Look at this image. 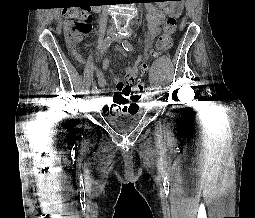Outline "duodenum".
Segmentation results:
<instances>
[{
  "mask_svg": "<svg viewBox=\"0 0 255 218\" xmlns=\"http://www.w3.org/2000/svg\"><path fill=\"white\" fill-rule=\"evenodd\" d=\"M97 10H99V8H96ZM85 64V61L83 62Z\"/></svg>",
  "mask_w": 255,
  "mask_h": 218,
  "instance_id": "duodenum-1",
  "label": "duodenum"
}]
</instances>
